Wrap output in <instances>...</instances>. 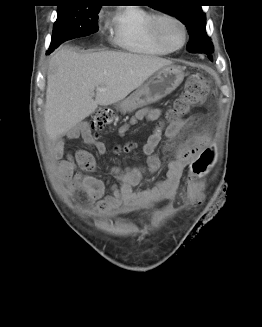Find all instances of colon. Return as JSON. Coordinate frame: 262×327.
Listing matches in <instances>:
<instances>
[{
  "label": "colon",
  "instance_id": "1",
  "mask_svg": "<svg viewBox=\"0 0 262 327\" xmlns=\"http://www.w3.org/2000/svg\"><path fill=\"white\" fill-rule=\"evenodd\" d=\"M210 91L209 81L200 73H192L187 78L184 90L179 98L176 99L173 107L167 113V119L170 122L177 121L180 117L187 115L195 107L199 106L206 99ZM114 120V113L110 109H98L91 118V127L97 133H100L107 125ZM131 148V145L123 147L124 150ZM212 158L210 150L204 151L193 165L194 174L203 172Z\"/></svg>",
  "mask_w": 262,
  "mask_h": 327
}]
</instances>
